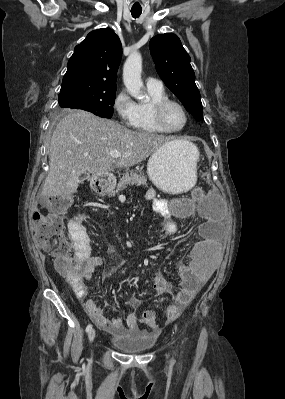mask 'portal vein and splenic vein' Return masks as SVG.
Wrapping results in <instances>:
<instances>
[{
    "mask_svg": "<svg viewBox=\"0 0 285 399\" xmlns=\"http://www.w3.org/2000/svg\"><path fill=\"white\" fill-rule=\"evenodd\" d=\"M110 155L114 159H117V158L121 157V154L119 152H117V151H111Z\"/></svg>",
    "mask_w": 285,
    "mask_h": 399,
    "instance_id": "1",
    "label": "portal vein and splenic vein"
}]
</instances>
